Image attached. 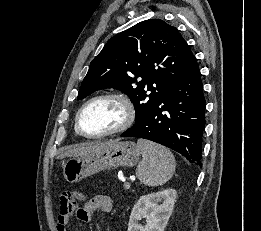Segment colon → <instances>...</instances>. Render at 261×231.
Instances as JSON below:
<instances>
[{"label":"colon","instance_id":"colon-1","mask_svg":"<svg viewBox=\"0 0 261 231\" xmlns=\"http://www.w3.org/2000/svg\"><path fill=\"white\" fill-rule=\"evenodd\" d=\"M80 201V193L67 191L60 196L59 215L71 217Z\"/></svg>","mask_w":261,"mask_h":231}]
</instances>
